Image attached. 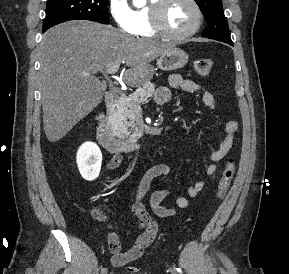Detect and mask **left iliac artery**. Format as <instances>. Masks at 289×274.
<instances>
[{
  "label": "left iliac artery",
  "instance_id": "obj_1",
  "mask_svg": "<svg viewBox=\"0 0 289 274\" xmlns=\"http://www.w3.org/2000/svg\"><path fill=\"white\" fill-rule=\"evenodd\" d=\"M176 270H177L179 273H182V271H181L180 268H176Z\"/></svg>",
  "mask_w": 289,
  "mask_h": 274
}]
</instances>
